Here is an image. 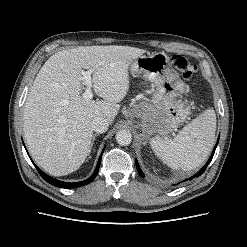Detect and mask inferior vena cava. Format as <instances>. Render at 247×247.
I'll return each instance as SVG.
<instances>
[{
	"mask_svg": "<svg viewBox=\"0 0 247 247\" xmlns=\"http://www.w3.org/2000/svg\"><path fill=\"white\" fill-rule=\"evenodd\" d=\"M109 127V122L103 117H95L92 120L91 128L96 133H104Z\"/></svg>",
	"mask_w": 247,
	"mask_h": 247,
	"instance_id": "inferior-vena-cava-1",
	"label": "inferior vena cava"
}]
</instances>
